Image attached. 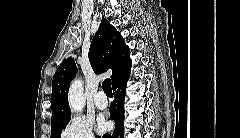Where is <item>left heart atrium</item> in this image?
<instances>
[{
  "label": "left heart atrium",
  "instance_id": "39dd6f15",
  "mask_svg": "<svg viewBox=\"0 0 240 138\" xmlns=\"http://www.w3.org/2000/svg\"><path fill=\"white\" fill-rule=\"evenodd\" d=\"M106 127H107V123L104 120H100L98 123V129L100 131H103L106 129Z\"/></svg>",
  "mask_w": 240,
  "mask_h": 138
}]
</instances>
